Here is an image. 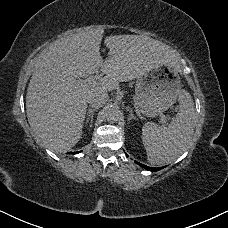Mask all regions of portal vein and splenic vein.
Returning <instances> with one entry per match:
<instances>
[{
    "mask_svg": "<svg viewBox=\"0 0 228 228\" xmlns=\"http://www.w3.org/2000/svg\"><path fill=\"white\" fill-rule=\"evenodd\" d=\"M86 83H88L89 85H96L97 84V76H89L85 79ZM162 122H165V116H162Z\"/></svg>",
    "mask_w": 228,
    "mask_h": 228,
    "instance_id": "1",
    "label": "portal vein and splenic vein"
}]
</instances>
